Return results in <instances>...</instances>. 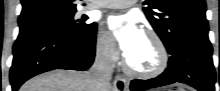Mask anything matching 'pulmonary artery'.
Returning <instances> with one entry per match:
<instances>
[{"mask_svg": "<svg viewBox=\"0 0 220 91\" xmlns=\"http://www.w3.org/2000/svg\"><path fill=\"white\" fill-rule=\"evenodd\" d=\"M135 3L134 0H104L92 4V8H127Z\"/></svg>", "mask_w": 220, "mask_h": 91, "instance_id": "pulmonary-artery-1", "label": "pulmonary artery"}]
</instances>
